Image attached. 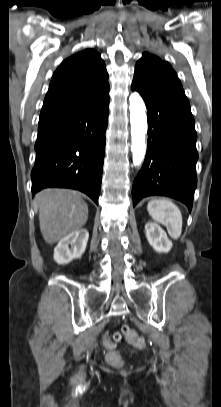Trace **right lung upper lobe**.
I'll return each instance as SVG.
<instances>
[{"mask_svg":"<svg viewBox=\"0 0 221 407\" xmlns=\"http://www.w3.org/2000/svg\"><path fill=\"white\" fill-rule=\"evenodd\" d=\"M108 73L100 54L86 49L66 60L52 76L40 117L88 105L109 94Z\"/></svg>","mask_w":221,"mask_h":407,"instance_id":"right-lung-upper-lobe-1","label":"right lung upper lobe"}]
</instances>
